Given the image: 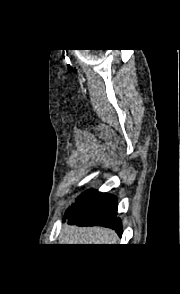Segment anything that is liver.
Masks as SVG:
<instances>
[{
    "mask_svg": "<svg viewBox=\"0 0 180 294\" xmlns=\"http://www.w3.org/2000/svg\"><path fill=\"white\" fill-rule=\"evenodd\" d=\"M62 244H115L113 231L102 227L65 226L60 237Z\"/></svg>",
    "mask_w": 180,
    "mask_h": 294,
    "instance_id": "liver-1",
    "label": "liver"
}]
</instances>
